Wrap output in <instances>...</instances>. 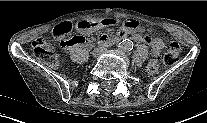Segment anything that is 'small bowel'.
<instances>
[{
    "label": "small bowel",
    "mask_w": 207,
    "mask_h": 123,
    "mask_svg": "<svg viewBox=\"0 0 207 123\" xmlns=\"http://www.w3.org/2000/svg\"><path fill=\"white\" fill-rule=\"evenodd\" d=\"M111 23L112 22L110 20H103L96 24H93L90 22H83L81 23L80 28L83 32H87V31H93V30L100 29ZM127 34H133V39L136 42H144L150 45L153 56H159L165 46L164 41L159 37L142 36L138 32V22L133 19H129L123 24L122 28L117 33V36L125 37ZM100 39L102 41H106L110 39V37H108L106 34H101Z\"/></svg>",
    "instance_id": "small-bowel-1"
}]
</instances>
